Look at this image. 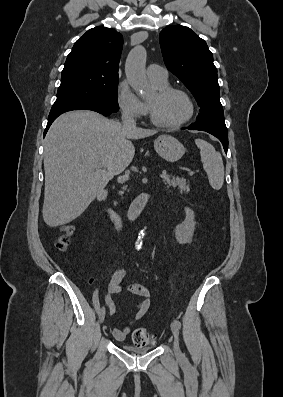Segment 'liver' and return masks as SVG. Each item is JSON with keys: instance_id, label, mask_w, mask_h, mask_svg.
<instances>
[{"instance_id": "6515ba94", "label": "liver", "mask_w": 283, "mask_h": 397, "mask_svg": "<svg viewBox=\"0 0 283 397\" xmlns=\"http://www.w3.org/2000/svg\"><path fill=\"white\" fill-rule=\"evenodd\" d=\"M156 130L126 129L97 112L70 111L51 125L44 144L43 219L49 227L79 217L108 182L132 162V139Z\"/></svg>"}]
</instances>
